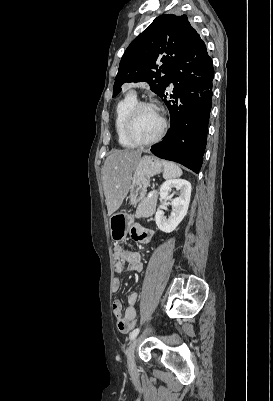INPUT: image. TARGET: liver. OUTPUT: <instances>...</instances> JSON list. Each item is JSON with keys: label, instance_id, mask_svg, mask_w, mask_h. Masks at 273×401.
Wrapping results in <instances>:
<instances>
[{"label": "liver", "instance_id": "6515ba94", "mask_svg": "<svg viewBox=\"0 0 273 401\" xmlns=\"http://www.w3.org/2000/svg\"><path fill=\"white\" fill-rule=\"evenodd\" d=\"M140 150L112 148L102 168L108 217L121 207L130 188L131 174L140 160Z\"/></svg>", "mask_w": 273, "mask_h": 401}]
</instances>
